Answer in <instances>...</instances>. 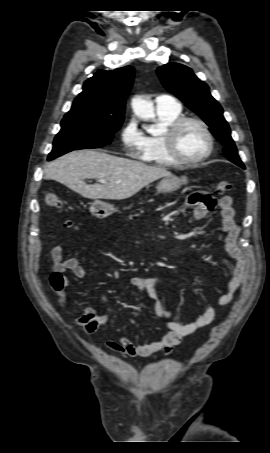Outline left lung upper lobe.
Returning <instances> with one entry per match:
<instances>
[{
	"label": "left lung upper lobe",
	"mask_w": 270,
	"mask_h": 453,
	"mask_svg": "<svg viewBox=\"0 0 270 453\" xmlns=\"http://www.w3.org/2000/svg\"><path fill=\"white\" fill-rule=\"evenodd\" d=\"M157 74L169 92L186 103L207 123L211 133L224 145L225 156L231 162L245 168L230 135L227 121L223 117V109L211 96L207 84L200 81L190 68L178 63L159 67Z\"/></svg>",
	"instance_id": "obj_1"
}]
</instances>
